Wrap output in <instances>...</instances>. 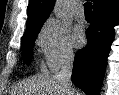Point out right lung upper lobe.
Masks as SVG:
<instances>
[{
    "label": "right lung upper lobe",
    "mask_w": 119,
    "mask_h": 95,
    "mask_svg": "<svg viewBox=\"0 0 119 95\" xmlns=\"http://www.w3.org/2000/svg\"><path fill=\"white\" fill-rule=\"evenodd\" d=\"M94 13L111 6L119 0H92ZM55 0H30L27 8L28 19L26 32L42 27L53 9ZM25 32V33H26Z\"/></svg>",
    "instance_id": "1"
}]
</instances>
